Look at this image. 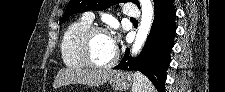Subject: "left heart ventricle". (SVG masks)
<instances>
[{
    "label": "left heart ventricle",
    "instance_id": "b2bd125f",
    "mask_svg": "<svg viewBox=\"0 0 225 92\" xmlns=\"http://www.w3.org/2000/svg\"><path fill=\"white\" fill-rule=\"evenodd\" d=\"M116 49L109 33L100 32L93 36L90 44L92 59L98 64H105L112 60Z\"/></svg>",
    "mask_w": 225,
    "mask_h": 92
}]
</instances>
